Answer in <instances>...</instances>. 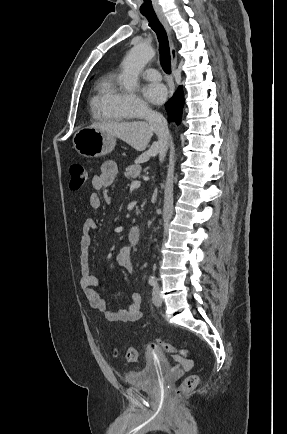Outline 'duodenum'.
Masks as SVG:
<instances>
[{
	"instance_id": "1",
	"label": "duodenum",
	"mask_w": 287,
	"mask_h": 434,
	"mask_svg": "<svg viewBox=\"0 0 287 434\" xmlns=\"http://www.w3.org/2000/svg\"><path fill=\"white\" fill-rule=\"evenodd\" d=\"M140 229L137 226H132L128 231V240L131 244H137L140 241Z\"/></svg>"
}]
</instances>
